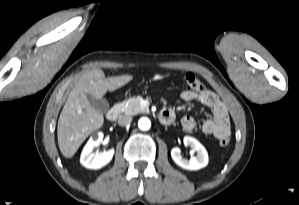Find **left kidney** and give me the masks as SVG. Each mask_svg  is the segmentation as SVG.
I'll return each mask as SVG.
<instances>
[{"mask_svg":"<svg viewBox=\"0 0 299 205\" xmlns=\"http://www.w3.org/2000/svg\"><path fill=\"white\" fill-rule=\"evenodd\" d=\"M183 143L191 147L196 152V156L191 157L189 160L184 159L180 149L177 147L173 148L171 150V157L178 166L186 170H199L207 166L208 153L198 140L191 136H185Z\"/></svg>","mask_w":299,"mask_h":205,"instance_id":"left-kidney-1","label":"left kidney"}]
</instances>
